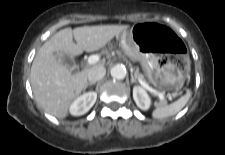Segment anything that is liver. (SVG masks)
I'll return each instance as SVG.
<instances>
[{"mask_svg":"<svg viewBox=\"0 0 225 155\" xmlns=\"http://www.w3.org/2000/svg\"><path fill=\"white\" fill-rule=\"evenodd\" d=\"M128 28V25L84 26L65 28L54 34L39 49L31 66L30 83L38 105L52 116L67 117L72 102L86 89L89 70L105 63L73 74L56 58L55 52L73 58L84 51H97Z\"/></svg>","mask_w":225,"mask_h":155,"instance_id":"6515ba94","label":"liver"}]
</instances>
